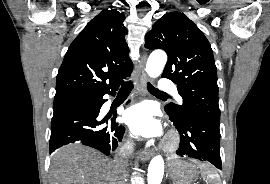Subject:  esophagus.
<instances>
[{
	"label": "esophagus",
	"instance_id": "esophagus-1",
	"mask_svg": "<svg viewBox=\"0 0 270 184\" xmlns=\"http://www.w3.org/2000/svg\"><path fill=\"white\" fill-rule=\"evenodd\" d=\"M147 60V53H144L141 57L140 64L138 66V90L141 95L146 93V83H147V75L145 71V63ZM153 155L152 150L144 149L141 153V159L143 161L149 160Z\"/></svg>",
	"mask_w": 270,
	"mask_h": 184
}]
</instances>
